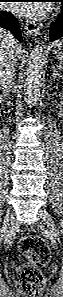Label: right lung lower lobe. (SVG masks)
Instances as JSON below:
<instances>
[{"mask_svg":"<svg viewBox=\"0 0 63 297\" xmlns=\"http://www.w3.org/2000/svg\"><path fill=\"white\" fill-rule=\"evenodd\" d=\"M0 27L9 30L19 42H22L20 27L16 17L13 14L0 11Z\"/></svg>","mask_w":63,"mask_h":297,"instance_id":"obj_1","label":"right lung lower lobe"}]
</instances>
